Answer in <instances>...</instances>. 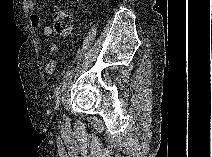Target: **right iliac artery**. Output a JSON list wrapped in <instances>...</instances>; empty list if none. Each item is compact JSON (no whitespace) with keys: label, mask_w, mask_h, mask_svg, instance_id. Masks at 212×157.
Segmentation results:
<instances>
[{"label":"right iliac artery","mask_w":212,"mask_h":157,"mask_svg":"<svg viewBox=\"0 0 212 157\" xmlns=\"http://www.w3.org/2000/svg\"><path fill=\"white\" fill-rule=\"evenodd\" d=\"M59 89L60 87H57L56 90H55V99H56V109L59 108Z\"/></svg>","instance_id":"82829eb1"}]
</instances>
